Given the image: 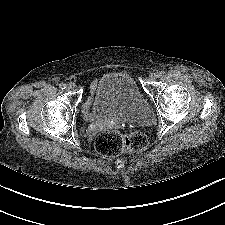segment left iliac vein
I'll list each match as a JSON object with an SVG mask.
<instances>
[{
	"label": "left iliac vein",
	"mask_w": 225,
	"mask_h": 225,
	"mask_svg": "<svg viewBox=\"0 0 225 225\" xmlns=\"http://www.w3.org/2000/svg\"><path fill=\"white\" fill-rule=\"evenodd\" d=\"M157 78H158V74H157V73H151V74L149 75V79H150L151 81H155Z\"/></svg>",
	"instance_id": "obj_1"
}]
</instances>
